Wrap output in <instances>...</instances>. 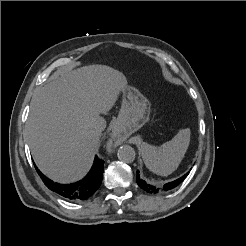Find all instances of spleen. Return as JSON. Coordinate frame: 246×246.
I'll return each instance as SVG.
<instances>
[{
  "mask_svg": "<svg viewBox=\"0 0 246 246\" xmlns=\"http://www.w3.org/2000/svg\"><path fill=\"white\" fill-rule=\"evenodd\" d=\"M190 143V129L180 130L171 141L160 147L146 142L140 145V151L146 167L160 176H168L180 165Z\"/></svg>",
  "mask_w": 246,
  "mask_h": 246,
  "instance_id": "obj_1",
  "label": "spleen"
}]
</instances>
